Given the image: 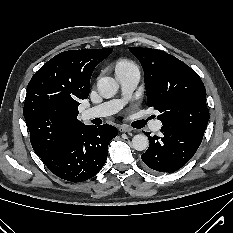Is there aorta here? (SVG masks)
Returning <instances> with one entry per match:
<instances>
[{
	"mask_svg": "<svg viewBox=\"0 0 233 233\" xmlns=\"http://www.w3.org/2000/svg\"><path fill=\"white\" fill-rule=\"evenodd\" d=\"M97 88L102 97L111 98L117 93L119 85L111 77H102L97 82ZM148 145V138L144 134H137L132 138V147L137 151L146 150Z\"/></svg>",
	"mask_w": 233,
	"mask_h": 233,
	"instance_id": "1",
	"label": "aorta"
}]
</instances>
